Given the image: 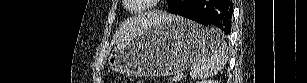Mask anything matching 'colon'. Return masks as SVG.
Masks as SVG:
<instances>
[{"label": "colon", "instance_id": "1", "mask_svg": "<svg viewBox=\"0 0 307 83\" xmlns=\"http://www.w3.org/2000/svg\"><path fill=\"white\" fill-rule=\"evenodd\" d=\"M116 82L117 83H136L135 80L129 79V78H119Z\"/></svg>", "mask_w": 307, "mask_h": 83}]
</instances>
